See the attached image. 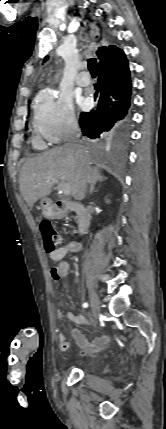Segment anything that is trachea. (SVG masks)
<instances>
[{
    "mask_svg": "<svg viewBox=\"0 0 166 429\" xmlns=\"http://www.w3.org/2000/svg\"><path fill=\"white\" fill-rule=\"evenodd\" d=\"M96 63L97 61L95 58H91L88 60V69L91 73H95L97 71Z\"/></svg>",
    "mask_w": 166,
    "mask_h": 429,
    "instance_id": "trachea-1",
    "label": "trachea"
}]
</instances>
